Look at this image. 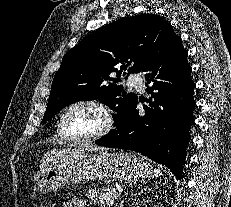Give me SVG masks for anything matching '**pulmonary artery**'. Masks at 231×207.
<instances>
[{
	"label": "pulmonary artery",
	"mask_w": 231,
	"mask_h": 207,
	"mask_svg": "<svg viewBox=\"0 0 231 207\" xmlns=\"http://www.w3.org/2000/svg\"><path fill=\"white\" fill-rule=\"evenodd\" d=\"M128 84L138 90L143 89V79L138 74H131L128 77Z\"/></svg>",
	"instance_id": "1"
}]
</instances>
